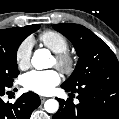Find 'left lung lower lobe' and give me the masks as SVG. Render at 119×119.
<instances>
[{
	"instance_id": "1",
	"label": "left lung lower lobe",
	"mask_w": 119,
	"mask_h": 119,
	"mask_svg": "<svg viewBox=\"0 0 119 119\" xmlns=\"http://www.w3.org/2000/svg\"><path fill=\"white\" fill-rule=\"evenodd\" d=\"M67 92L78 93L79 104L73 99H57L60 108L53 119H119V82L90 83L78 88L61 85Z\"/></svg>"
}]
</instances>
